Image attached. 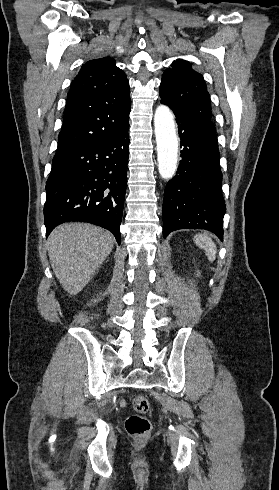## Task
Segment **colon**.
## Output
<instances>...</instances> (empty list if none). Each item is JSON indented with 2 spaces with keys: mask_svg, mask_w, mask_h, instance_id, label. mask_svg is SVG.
<instances>
[{
  "mask_svg": "<svg viewBox=\"0 0 279 490\" xmlns=\"http://www.w3.org/2000/svg\"><path fill=\"white\" fill-rule=\"evenodd\" d=\"M133 413H130L125 422L127 433L132 442H149L150 420L145 416L150 409V401L145 396H135L132 399Z\"/></svg>",
  "mask_w": 279,
  "mask_h": 490,
  "instance_id": "1",
  "label": "colon"
}]
</instances>
